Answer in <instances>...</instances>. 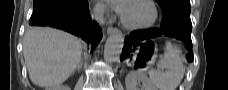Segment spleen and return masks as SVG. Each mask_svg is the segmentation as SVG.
<instances>
[{"label": "spleen", "mask_w": 228, "mask_h": 90, "mask_svg": "<svg viewBox=\"0 0 228 90\" xmlns=\"http://www.w3.org/2000/svg\"><path fill=\"white\" fill-rule=\"evenodd\" d=\"M184 73L181 52L170 42H166L165 52L157 63V69L148 71L150 81L159 90H176Z\"/></svg>", "instance_id": "obj_1"}]
</instances>
